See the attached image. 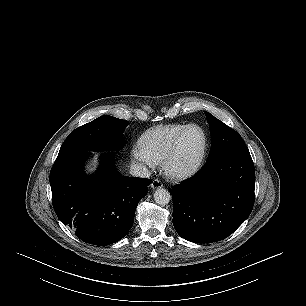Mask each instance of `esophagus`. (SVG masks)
I'll list each match as a JSON object with an SVG mask.
<instances>
[{"mask_svg": "<svg viewBox=\"0 0 306 306\" xmlns=\"http://www.w3.org/2000/svg\"><path fill=\"white\" fill-rule=\"evenodd\" d=\"M162 186H163V183L158 179L153 180L151 183V188L153 189L161 188Z\"/></svg>", "mask_w": 306, "mask_h": 306, "instance_id": "1", "label": "esophagus"}]
</instances>
